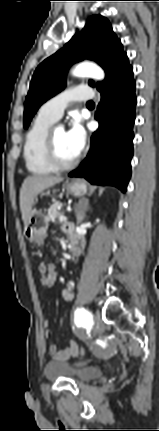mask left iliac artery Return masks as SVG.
<instances>
[{
	"instance_id": "44dca946",
	"label": "left iliac artery",
	"mask_w": 159,
	"mask_h": 431,
	"mask_svg": "<svg viewBox=\"0 0 159 431\" xmlns=\"http://www.w3.org/2000/svg\"><path fill=\"white\" fill-rule=\"evenodd\" d=\"M77 325L85 326L92 324V314L85 308H77L75 311Z\"/></svg>"
}]
</instances>
